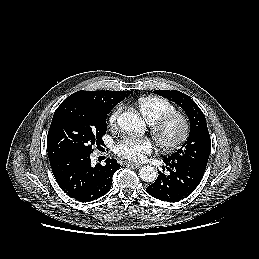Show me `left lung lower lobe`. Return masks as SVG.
Segmentation results:
<instances>
[{
  "instance_id": "obj_1",
  "label": "left lung lower lobe",
  "mask_w": 259,
  "mask_h": 259,
  "mask_svg": "<svg viewBox=\"0 0 259 259\" xmlns=\"http://www.w3.org/2000/svg\"><path fill=\"white\" fill-rule=\"evenodd\" d=\"M170 174L166 176L158 170L157 180L147 187V192L154 198L175 202L189 196L200 183L204 172L182 161L163 159ZM165 170V168H163Z\"/></svg>"
}]
</instances>
